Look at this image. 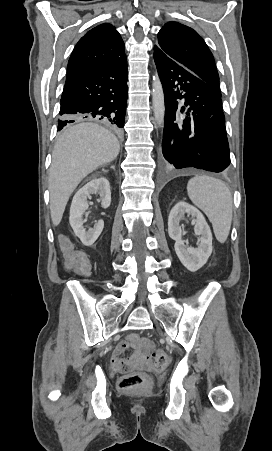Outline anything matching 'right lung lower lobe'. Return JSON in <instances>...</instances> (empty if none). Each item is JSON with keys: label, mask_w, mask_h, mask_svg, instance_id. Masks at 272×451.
<instances>
[{"label": "right lung lower lobe", "mask_w": 272, "mask_h": 451, "mask_svg": "<svg viewBox=\"0 0 272 451\" xmlns=\"http://www.w3.org/2000/svg\"><path fill=\"white\" fill-rule=\"evenodd\" d=\"M126 55L107 65L68 76L61 97L58 130L83 119L101 120L119 132L127 106Z\"/></svg>", "instance_id": "98d812e1"}]
</instances>
